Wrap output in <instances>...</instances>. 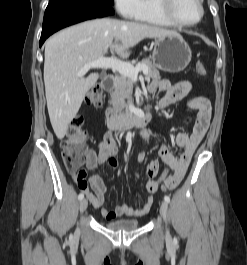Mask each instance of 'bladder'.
Returning a JSON list of instances; mask_svg holds the SVG:
<instances>
[{
    "instance_id": "31cf9c89",
    "label": "bladder",
    "mask_w": 247,
    "mask_h": 265,
    "mask_svg": "<svg viewBox=\"0 0 247 265\" xmlns=\"http://www.w3.org/2000/svg\"><path fill=\"white\" fill-rule=\"evenodd\" d=\"M139 226L140 222L136 219H120L105 223V227L112 231H131Z\"/></svg>"
}]
</instances>
